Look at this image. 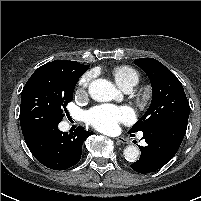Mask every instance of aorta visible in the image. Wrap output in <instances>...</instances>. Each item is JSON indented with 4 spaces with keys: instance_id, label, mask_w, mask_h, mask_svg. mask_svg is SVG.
Returning <instances> with one entry per match:
<instances>
[{
    "instance_id": "762f6f07",
    "label": "aorta",
    "mask_w": 201,
    "mask_h": 201,
    "mask_svg": "<svg viewBox=\"0 0 201 201\" xmlns=\"http://www.w3.org/2000/svg\"><path fill=\"white\" fill-rule=\"evenodd\" d=\"M92 99L98 102H107L113 100L118 94L115 86L105 79L93 80L88 88ZM124 157L129 162H134L140 155L139 149L134 145H129L124 149Z\"/></svg>"
}]
</instances>
